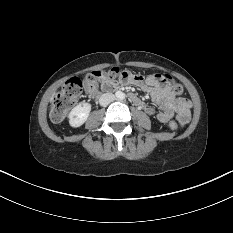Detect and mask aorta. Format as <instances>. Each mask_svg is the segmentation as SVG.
I'll return each mask as SVG.
<instances>
[{"label":"aorta","instance_id":"762f6f07","mask_svg":"<svg viewBox=\"0 0 233 233\" xmlns=\"http://www.w3.org/2000/svg\"><path fill=\"white\" fill-rule=\"evenodd\" d=\"M116 97H117L118 99H124L125 94H124L123 92H121V91H117V92H116Z\"/></svg>","mask_w":233,"mask_h":233}]
</instances>
